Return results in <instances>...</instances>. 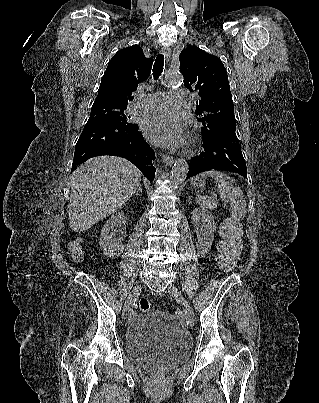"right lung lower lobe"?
<instances>
[{"label": "right lung lower lobe", "instance_id": "1", "mask_svg": "<svg viewBox=\"0 0 319 403\" xmlns=\"http://www.w3.org/2000/svg\"><path fill=\"white\" fill-rule=\"evenodd\" d=\"M113 155L126 158L152 181L155 152L144 140L136 124L107 121L87 122L75 146L72 170L89 158Z\"/></svg>", "mask_w": 319, "mask_h": 403}]
</instances>
